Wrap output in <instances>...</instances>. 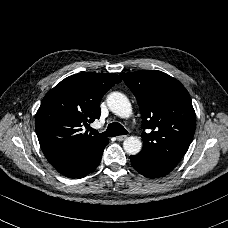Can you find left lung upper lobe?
Segmentation results:
<instances>
[{
	"label": "left lung upper lobe",
	"mask_w": 228,
	"mask_h": 228,
	"mask_svg": "<svg viewBox=\"0 0 228 228\" xmlns=\"http://www.w3.org/2000/svg\"><path fill=\"white\" fill-rule=\"evenodd\" d=\"M135 95L142 117L143 148L152 160L179 162L192 141L196 116L185 87L161 71L120 74Z\"/></svg>",
	"instance_id": "obj_1"
}]
</instances>
